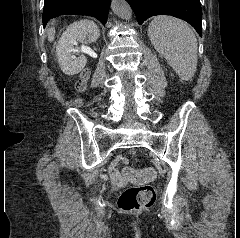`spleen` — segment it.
I'll list each match as a JSON object with an SVG mask.
<instances>
[{
	"label": "spleen",
	"instance_id": "3e777b00",
	"mask_svg": "<svg viewBox=\"0 0 240 238\" xmlns=\"http://www.w3.org/2000/svg\"><path fill=\"white\" fill-rule=\"evenodd\" d=\"M148 36L182 80L188 81L194 76L198 43L187 23L173 17L157 16L148 26Z\"/></svg>",
	"mask_w": 240,
	"mask_h": 238
}]
</instances>
